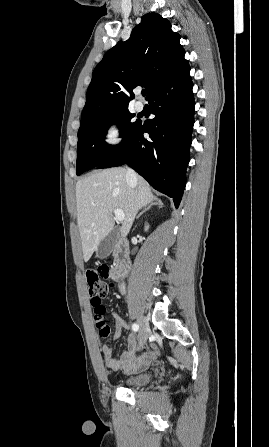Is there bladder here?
<instances>
[{"label":"bladder","mask_w":269,"mask_h":447,"mask_svg":"<svg viewBox=\"0 0 269 447\" xmlns=\"http://www.w3.org/2000/svg\"><path fill=\"white\" fill-rule=\"evenodd\" d=\"M156 377L153 371H143L131 374L124 378V381L131 386L132 389H136L140 386H146Z\"/></svg>","instance_id":"1"}]
</instances>
